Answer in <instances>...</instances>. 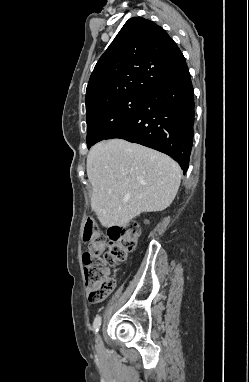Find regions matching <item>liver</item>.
Wrapping results in <instances>:
<instances>
[{
	"instance_id": "6515ba94",
	"label": "liver",
	"mask_w": 249,
	"mask_h": 382,
	"mask_svg": "<svg viewBox=\"0 0 249 382\" xmlns=\"http://www.w3.org/2000/svg\"><path fill=\"white\" fill-rule=\"evenodd\" d=\"M91 207L103 227L124 226L174 200L181 168L169 156L123 139L95 144L87 156Z\"/></svg>"
}]
</instances>
